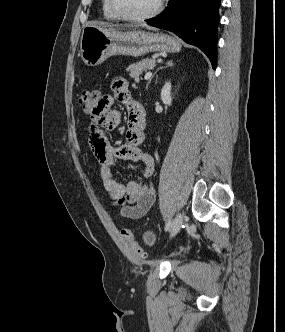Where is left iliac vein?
<instances>
[{
  "label": "left iliac vein",
  "instance_id": "1",
  "mask_svg": "<svg viewBox=\"0 0 285 332\" xmlns=\"http://www.w3.org/2000/svg\"><path fill=\"white\" fill-rule=\"evenodd\" d=\"M182 223H183V215L181 213H178L173 220L170 230V237L175 236L179 232Z\"/></svg>",
  "mask_w": 285,
  "mask_h": 332
}]
</instances>
